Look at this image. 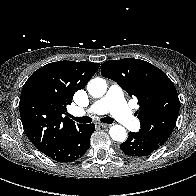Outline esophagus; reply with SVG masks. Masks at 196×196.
Segmentation results:
<instances>
[{
  "mask_svg": "<svg viewBox=\"0 0 196 196\" xmlns=\"http://www.w3.org/2000/svg\"><path fill=\"white\" fill-rule=\"evenodd\" d=\"M99 125H100L101 127H103V128H108V127L111 126V124H105V123H100Z\"/></svg>",
  "mask_w": 196,
  "mask_h": 196,
  "instance_id": "obj_1",
  "label": "esophagus"
}]
</instances>
